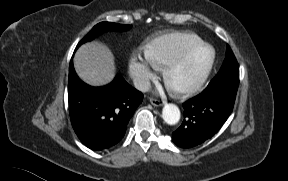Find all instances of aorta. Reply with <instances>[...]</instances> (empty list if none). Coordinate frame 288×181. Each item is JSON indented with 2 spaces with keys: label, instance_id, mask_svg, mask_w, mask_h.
I'll return each mask as SVG.
<instances>
[{
  "label": "aorta",
  "instance_id": "obj_1",
  "mask_svg": "<svg viewBox=\"0 0 288 181\" xmlns=\"http://www.w3.org/2000/svg\"><path fill=\"white\" fill-rule=\"evenodd\" d=\"M162 117L169 125H175L180 120V110L175 104H166L162 110Z\"/></svg>",
  "mask_w": 288,
  "mask_h": 181
}]
</instances>
